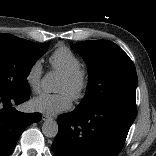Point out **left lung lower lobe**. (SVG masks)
<instances>
[{"label": "left lung lower lobe", "instance_id": "obj_1", "mask_svg": "<svg viewBox=\"0 0 156 156\" xmlns=\"http://www.w3.org/2000/svg\"><path fill=\"white\" fill-rule=\"evenodd\" d=\"M137 109L109 103L60 115L53 142L55 156H117Z\"/></svg>", "mask_w": 156, "mask_h": 156}]
</instances>
